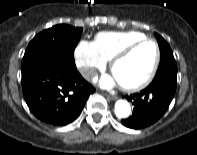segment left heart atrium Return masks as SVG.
<instances>
[{"mask_svg": "<svg viewBox=\"0 0 197 155\" xmlns=\"http://www.w3.org/2000/svg\"><path fill=\"white\" fill-rule=\"evenodd\" d=\"M119 83L114 75L105 76L101 79L100 84L103 87H110Z\"/></svg>", "mask_w": 197, "mask_h": 155, "instance_id": "39dd6f15", "label": "left heart atrium"}]
</instances>
